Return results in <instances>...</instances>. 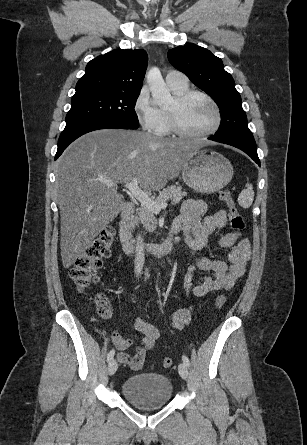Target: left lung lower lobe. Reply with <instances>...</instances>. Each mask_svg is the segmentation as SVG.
Instances as JSON below:
<instances>
[{
  "label": "left lung lower lobe",
  "instance_id": "0a47b994",
  "mask_svg": "<svg viewBox=\"0 0 307 445\" xmlns=\"http://www.w3.org/2000/svg\"><path fill=\"white\" fill-rule=\"evenodd\" d=\"M208 139L239 148L248 154L260 166V160L257 155V147L253 137L212 136Z\"/></svg>",
  "mask_w": 307,
  "mask_h": 445
}]
</instances>
